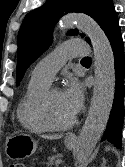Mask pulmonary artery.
Segmentation results:
<instances>
[{"label":"pulmonary artery","mask_w":125,"mask_h":167,"mask_svg":"<svg viewBox=\"0 0 125 167\" xmlns=\"http://www.w3.org/2000/svg\"><path fill=\"white\" fill-rule=\"evenodd\" d=\"M89 54L86 41L69 40L57 46L34 67L32 77L50 84L57 71L71 58L86 57Z\"/></svg>","instance_id":"pulmonary-artery-1"}]
</instances>
